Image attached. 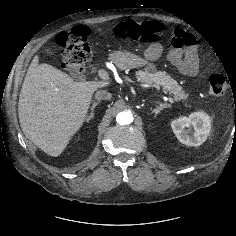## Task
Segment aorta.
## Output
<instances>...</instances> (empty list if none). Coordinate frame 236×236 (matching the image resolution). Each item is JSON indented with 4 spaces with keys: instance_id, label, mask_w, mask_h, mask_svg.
<instances>
[{
    "instance_id": "obj_1",
    "label": "aorta",
    "mask_w": 236,
    "mask_h": 236,
    "mask_svg": "<svg viewBox=\"0 0 236 236\" xmlns=\"http://www.w3.org/2000/svg\"><path fill=\"white\" fill-rule=\"evenodd\" d=\"M134 120L133 114L130 111L119 112L116 116V121L120 125L131 124Z\"/></svg>"
}]
</instances>
